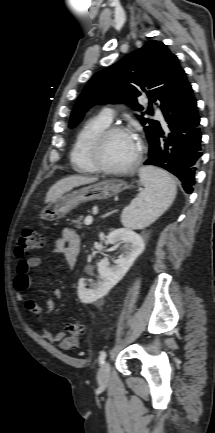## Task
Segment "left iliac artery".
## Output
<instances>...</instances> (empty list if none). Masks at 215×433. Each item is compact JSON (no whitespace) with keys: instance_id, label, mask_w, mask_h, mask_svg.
<instances>
[{"instance_id":"44dca946","label":"left iliac artery","mask_w":215,"mask_h":433,"mask_svg":"<svg viewBox=\"0 0 215 433\" xmlns=\"http://www.w3.org/2000/svg\"><path fill=\"white\" fill-rule=\"evenodd\" d=\"M106 359V352L102 351L99 355V364H102Z\"/></svg>"}]
</instances>
